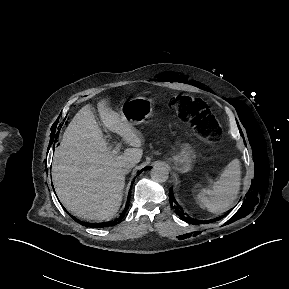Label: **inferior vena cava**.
I'll return each instance as SVG.
<instances>
[{"mask_svg":"<svg viewBox=\"0 0 289 289\" xmlns=\"http://www.w3.org/2000/svg\"><path fill=\"white\" fill-rule=\"evenodd\" d=\"M133 166H134L133 163H131V162H126V163H124V164L122 165L121 170H122L123 173L127 174V173L130 172V170L132 169Z\"/></svg>","mask_w":289,"mask_h":289,"instance_id":"obj_1","label":"inferior vena cava"}]
</instances>
